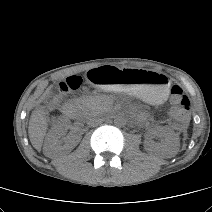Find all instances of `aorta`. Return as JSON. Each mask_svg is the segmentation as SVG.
Segmentation results:
<instances>
[{
    "label": "aorta",
    "instance_id": "1",
    "mask_svg": "<svg viewBox=\"0 0 212 212\" xmlns=\"http://www.w3.org/2000/svg\"><path fill=\"white\" fill-rule=\"evenodd\" d=\"M114 123H115V125H117V126H124L125 123H126V120H125L124 117L118 116V117H116V118L114 119Z\"/></svg>",
    "mask_w": 212,
    "mask_h": 212
}]
</instances>
